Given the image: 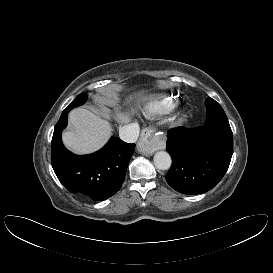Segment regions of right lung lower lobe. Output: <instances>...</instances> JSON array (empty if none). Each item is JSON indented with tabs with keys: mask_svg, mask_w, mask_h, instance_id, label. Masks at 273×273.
Listing matches in <instances>:
<instances>
[{
	"mask_svg": "<svg viewBox=\"0 0 273 273\" xmlns=\"http://www.w3.org/2000/svg\"><path fill=\"white\" fill-rule=\"evenodd\" d=\"M68 112L63 111L52 137L51 162L54 172L70 192L87 195L95 201L105 200L120 189L135 144L112 137L93 154L75 155L64 147L61 140Z\"/></svg>",
	"mask_w": 273,
	"mask_h": 273,
	"instance_id": "obj_1",
	"label": "right lung lower lobe"
}]
</instances>
